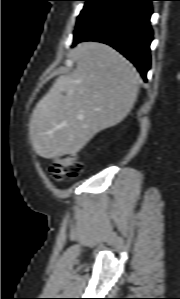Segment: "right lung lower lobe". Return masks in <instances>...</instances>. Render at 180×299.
Returning a JSON list of instances; mask_svg holds the SVG:
<instances>
[{"label": "right lung lower lobe", "mask_w": 180, "mask_h": 299, "mask_svg": "<svg viewBox=\"0 0 180 299\" xmlns=\"http://www.w3.org/2000/svg\"><path fill=\"white\" fill-rule=\"evenodd\" d=\"M153 0H106L76 25L74 45L82 41L106 43L130 60L146 80L150 69V25Z\"/></svg>", "instance_id": "98d812e1"}]
</instances>
